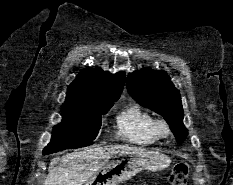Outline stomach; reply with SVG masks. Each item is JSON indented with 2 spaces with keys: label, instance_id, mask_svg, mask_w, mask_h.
<instances>
[{
  "label": "stomach",
  "instance_id": "obj_1",
  "mask_svg": "<svg viewBox=\"0 0 233 185\" xmlns=\"http://www.w3.org/2000/svg\"><path fill=\"white\" fill-rule=\"evenodd\" d=\"M170 163L171 159L165 154L128 147L114 155L83 185H118L141 170L160 171L167 168Z\"/></svg>",
  "mask_w": 233,
  "mask_h": 185
}]
</instances>
